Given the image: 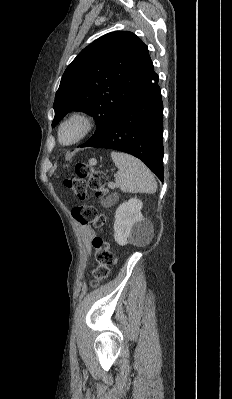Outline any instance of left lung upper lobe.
<instances>
[{
    "label": "left lung upper lobe",
    "instance_id": "5c2ea615",
    "mask_svg": "<svg viewBox=\"0 0 232 399\" xmlns=\"http://www.w3.org/2000/svg\"><path fill=\"white\" fill-rule=\"evenodd\" d=\"M148 59L147 46L128 31L108 33L92 42L62 76L52 127L74 109L86 112L95 118L97 128L80 147L96 143L131 97Z\"/></svg>",
    "mask_w": 232,
    "mask_h": 399
}]
</instances>
